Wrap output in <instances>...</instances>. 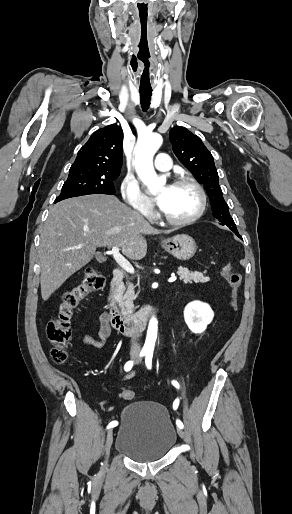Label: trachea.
Masks as SVG:
<instances>
[{
  "mask_svg": "<svg viewBox=\"0 0 292 514\" xmlns=\"http://www.w3.org/2000/svg\"><path fill=\"white\" fill-rule=\"evenodd\" d=\"M139 92H140V103H141L142 110L144 112H146L150 106L152 90L140 89Z\"/></svg>",
  "mask_w": 292,
  "mask_h": 514,
  "instance_id": "1",
  "label": "trachea"
}]
</instances>
